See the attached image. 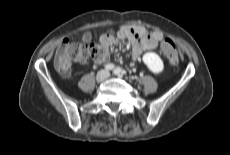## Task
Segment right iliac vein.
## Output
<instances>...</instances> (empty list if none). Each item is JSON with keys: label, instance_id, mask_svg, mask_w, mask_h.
Here are the masks:
<instances>
[{"label": "right iliac vein", "instance_id": "obj_1", "mask_svg": "<svg viewBox=\"0 0 230 155\" xmlns=\"http://www.w3.org/2000/svg\"><path fill=\"white\" fill-rule=\"evenodd\" d=\"M106 77H107L106 73L104 71H101L97 74L96 80L98 83H101L106 79Z\"/></svg>", "mask_w": 230, "mask_h": 155}]
</instances>
